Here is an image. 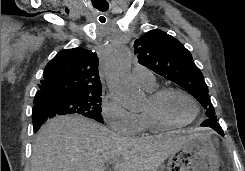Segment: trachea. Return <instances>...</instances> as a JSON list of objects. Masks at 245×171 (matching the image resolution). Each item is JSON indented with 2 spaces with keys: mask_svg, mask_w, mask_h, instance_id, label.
<instances>
[{
  "mask_svg": "<svg viewBox=\"0 0 245 171\" xmlns=\"http://www.w3.org/2000/svg\"><path fill=\"white\" fill-rule=\"evenodd\" d=\"M95 1H99V2H97V3L94 4V7H95L96 9H98L99 11H102V12L108 10V8H109L108 2H106V1H104V0H95ZM99 21H100L101 23H104L106 20H105V18L100 17V18H99Z\"/></svg>",
  "mask_w": 245,
  "mask_h": 171,
  "instance_id": "obj_1",
  "label": "trachea"
}]
</instances>
